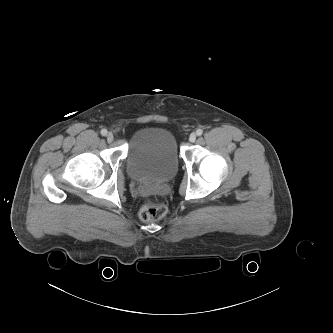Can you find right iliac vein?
<instances>
[{
    "instance_id": "1",
    "label": "right iliac vein",
    "mask_w": 333,
    "mask_h": 333,
    "mask_svg": "<svg viewBox=\"0 0 333 333\" xmlns=\"http://www.w3.org/2000/svg\"><path fill=\"white\" fill-rule=\"evenodd\" d=\"M114 140V135L110 132L107 134V141L111 143Z\"/></svg>"
}]
</instances>
